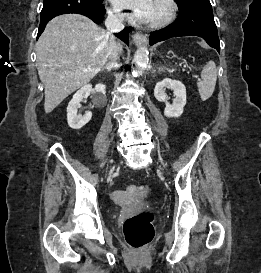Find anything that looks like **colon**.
<instances>
[{
  "instance_id": "1",
  "label": "colon",
  "mask_w": 261,
  "mask_h": 273,
  "mask_svg": "<svg viewBox=\"0 0 261 273\" xmlns=\"http://www.w3.org/2000/svg\"><path fill=\"white\" fill-rule=\"evenodd\" d=\"M125 192L129 197L144 196V188L139 185H127ZM116 200L122 199L120 194L115 195ZM153 216L149 212H142L128 218L123 224V235L128 245L135 249L145 248L154 237L152 225Z\"/></svg>"
}]
</instances>
